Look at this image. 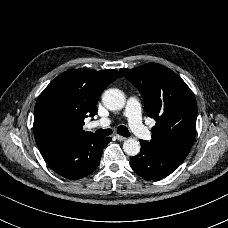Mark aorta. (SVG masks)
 I'll return each mask as SVG.
<instances>
[{"label": "aorta", "mask_w": 228, "mask_h": 228, "mask_svg": "<svg viewBox=\"0 0 228 228\" xmlns=\"http://www.w3.org/2000/svg\"><path fill=\"white\" fill-rule=\"evenodd\" d=\"M102 102L107 109L116 111L123 109L126 99L121 90L111 88L103 93ZM123 150L129 156H136L140 152V143L133 138L127 139L124 141Z\"/></svg>", "instance_id": "1"}]
</instances>
